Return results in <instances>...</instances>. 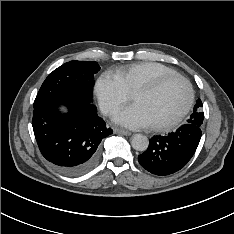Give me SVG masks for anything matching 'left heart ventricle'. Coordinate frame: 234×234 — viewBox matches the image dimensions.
<instances>
[{"label": "left heart ventricle", "instance_id": "left-heart-ventricle-1", "mask_svg": "<svg viewBox=\"0 0 234 234\" xmlns=\"http://www.w3.org/2000/svg\"><path fill=\"white\" fill-rule=\"evenodd\" d=\"M187 95L186 86L174 80L154 93L134 95L133 101L144 110L151 125H155L176 117L185 106Z\"/></svg>", "mask_w": 234, "mask_h": 234}]
</instances>
